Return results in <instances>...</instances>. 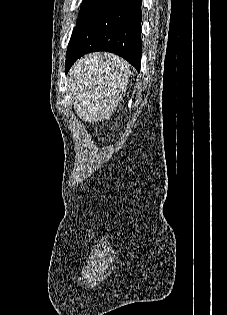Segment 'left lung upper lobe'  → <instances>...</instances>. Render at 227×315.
Listing matches in <instances>:
<instances>
[{"mask_svg": "<svg viewBox=\"0 0 227 315\" xmlns=\"http://www.w3.org/2000/svg\"><path fill=\"white\" fill-rule=\"evenodd\" d=\"M97 0H83L77 22L91 9Z\"/></svg>", "mask_w": 227, "mask_h": 315, "instance_id": "1", "label": "left lung upper lobe"}]
</instances>
